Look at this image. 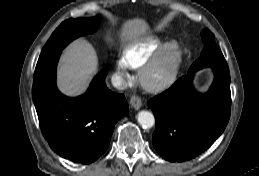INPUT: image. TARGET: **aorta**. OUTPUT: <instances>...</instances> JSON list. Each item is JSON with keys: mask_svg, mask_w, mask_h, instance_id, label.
Here are the masks:
<instances>
[{"mask_svg": "<svg viewBox=\"0 0 259 176\" xmlns=\"http://www.w3.org/2000/svg\"><path fill=\"white\" fill-rule=\"evenodd\" d=\"M137 120L144 128H151L155 124L154 115L149 111H140L137 115Z\"/></svg>", "mask_w": 259, "mask_h": 176, "instance_id": "aorta-1", "label": "aorta"}]
</instances>
